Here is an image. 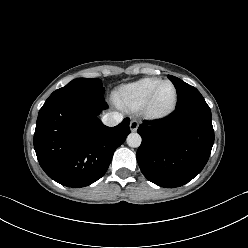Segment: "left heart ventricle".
Wrapping results in <instances>:
<instances>
[{"label":"left heart ventricle","mask_w":248,"mask_h":248,"mask_svg":"<svg viewBox=\"0 0 248 248\" xmlns=\"http://www.w3.org/2000/svg\"><path fill=\"white\" fill-rule=\"evenodd\" d=\"M174 98V90L171 85H162L154 96L151 103L153 112H162L170 107Z\"/></svg>","instance_id":"left-heart-ventricle-1"}]
</instances>
